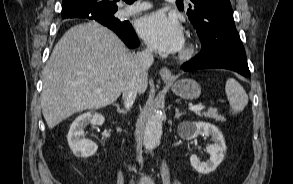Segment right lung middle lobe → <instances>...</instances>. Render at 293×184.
Returning <instances> with one entry per match:
<instances>
[{
	"mask_svg": "<svg viewBox=\"0 0 293 184\" xmlns=\"http://www.w3.org/2000/svg\"><path fill=\"white\" fill-rule=\"evenodd\" d=\"M79 6L86 10H93V9L102 8L104 4L97 0H82L80 1ZM116 11L117 9L114 10L112 13H115Z\"/></svg>",
	"mask_w": 293,
	"mask_h": 184,
	"instance_id": "obj_1",
	"label": "right lung middle lobe"
}]
</instances>
